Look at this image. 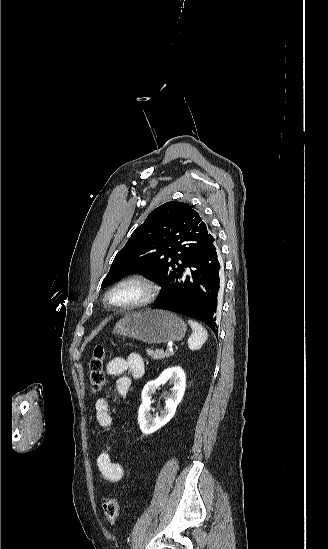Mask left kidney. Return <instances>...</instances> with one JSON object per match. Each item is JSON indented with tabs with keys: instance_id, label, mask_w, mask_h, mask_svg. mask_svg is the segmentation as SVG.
Returning a JSON list of instances; mask_svg holds the SVG:
<instances>
[{
	"instance_id": "left-kidney-1",
	"label": "left kidney",
	"mask_w": 328,
	"mask_h": 549,
	"mask_svg": "<svg viewBox=\"0 0 328 549\" xmlns=\"http://www.w3.org/2000/svg\"><path fill=\"white\" fill-rule=\"evenodd\" d=\"M168 381L169 385H173V387L170 389L172 393L169 399H166L165 401L164 411L159 417L158 415L151 417L150 409L152 395L153 393H156V389H158L160 385H164V383H168ZM185 381V373L181 367H169V369H165V371L161 373L158 379L146 383L141 393L142 403L138 411V423L143 435H151V433L158 431V429H161L163 425H166V423L172 419L180 401L183 399L186 387Z\"/></svg>"
}]
</instances>
